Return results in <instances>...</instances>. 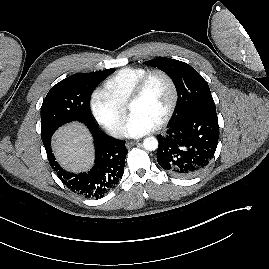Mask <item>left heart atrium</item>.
Segmentation results:
<instances>
[{
	"label": "left heart atrium",
	"mask_w": 269,
	"mask_h": 269,
	"mask_svg": "<svg viewBox=\"0 0 269 269\" xmlns=\"http://www.w3.org/2000/svg\"><path fill=\"white\" fill-rule=\"evenodd\" d=\"M156 127L152 121L139 114H131L126 126L124 133L128 137H140L153 131Z\"/></svg>",
	"instance_id": "left-heart-atrium-1"
}]
</instances>
